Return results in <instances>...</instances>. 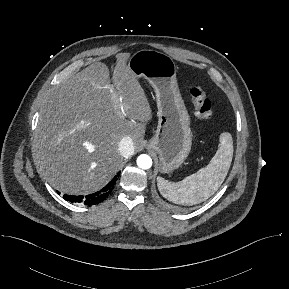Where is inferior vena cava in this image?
Returning a JSON list of instances; mask_svg holds the SVG:
<instances>
[{"instance_id":"602c4592","label":"inferior vena cava","mask_w":289,"mask_h":289,"mask_svg":"<svg viewBox=\"0 0 289 289\" xmlns=\"http://www.w3.org/2000/svg\"><path fill=\"white\" fill-rule=\"evenodd\" d=\"M119 152L123 157H128L134 153V144L129 136H125L119 143Z\"/></svg>"}]
</instances>
